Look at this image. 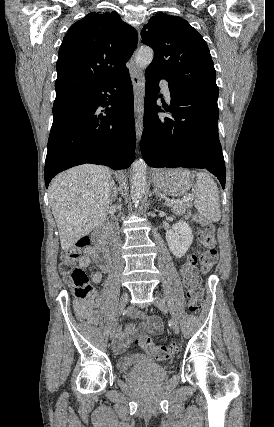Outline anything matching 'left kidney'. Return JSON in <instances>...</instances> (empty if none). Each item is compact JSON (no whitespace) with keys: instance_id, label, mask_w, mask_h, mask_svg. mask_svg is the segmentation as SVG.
<instances>
[{"instance_id":"5707ae66","label":"left kidney","mask_w":274,"mask_h":427,"mask_svg":"<svg viewBox=\"0 0 274 427\" xmlns=\"http://www.w3.org/2000/svg\"><path fill=\"white\" fill-rule=\"evenodd\" d=\"M166 239L173 255L182 257L193 241L192 229L186 221L180 219L178 223L172 225L171 229H167Z\"/></svg>"}]
</instances>
